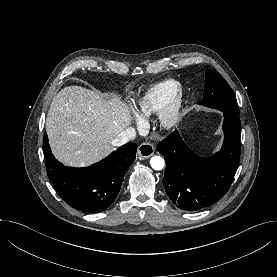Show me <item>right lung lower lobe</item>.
<instances>
[{
	"label": "right lung lower lobe",
	"mask_w": 277,
	"mask_h": 277,
	"mask_svg": "<svg viewBox=\"0 0 277 277\" xmlns=\"http://www.w3.org/2000/svg\"><path fill=\"white\" fill-rule=\"evenodd\" d=\"M136 151V144L127 143L98 163L72 168L54 158L47 135L43 138L49 179L67 204L85 213L104 211L114 202L125 172L135 160Z\"/></svg>",
	"instance_id": "right-lung-lower-lobe-1"
}]
</instances>
